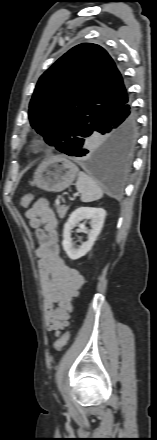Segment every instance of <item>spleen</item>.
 <instances>
[{"mask_svg":"<svg viewBox=\"0 0 157 440\" xmlns=\"http://www.w3.org/2000/svg\"><path fill=\"white\" fill-rule=\"evenodd\" d=\"M76 189L81 193V201L84 203L99 200L103 196V191L98 183L83 172H78Z\"/></svg>","mask_w":157,"mask_h":440,"instance_id":"3e777b00","label":"spleen"}]
</instances>
